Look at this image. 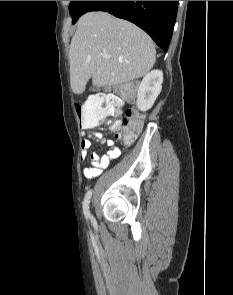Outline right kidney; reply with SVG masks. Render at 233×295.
Returning a JSON list of instances; mask_svg holds the SVG:
<instances>
[{
  "label": "right kidney",
  "mask_w": 233,
  "mask_h": 295,
  "mask_svg": "<svg viewBox=\"0 0 233 295\" xmlns=\"http://www.w3.org/2000/svg\"><path fill=\"white\" fill-rule=\"evenodd\" d=\"M163 72L152 70L147 73L137 88V107L141 111L150 109L161 92Z\"/></svg>",
  "instance_id": "right-kidney-1"
}]
</instances>
